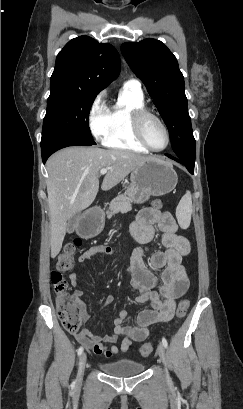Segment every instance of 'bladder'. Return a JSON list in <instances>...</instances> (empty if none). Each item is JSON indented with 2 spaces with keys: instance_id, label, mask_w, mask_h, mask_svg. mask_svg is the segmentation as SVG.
<instances>
[{
  "instance_id": "31cf9c89",
  "label": "bladder",
  "mask_w": 243,
  "mask_h": 409,
  "mask_svg": "<svg viewBox=\"0 0 243 409\" xmlns=\"http://www.w3.org/2000/svg\"><path fill=\"white\" fill-rule=\"evenodd\" d=\"M103 372L112 377H130L142 373L145 366L131 359H119L100 365Z\"/></svg>"
}]
</instances>
